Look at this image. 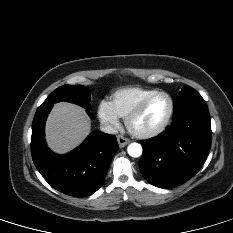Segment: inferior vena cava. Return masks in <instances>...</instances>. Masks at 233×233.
I'll use <instances>...</instances> for the list:
<instances>
[{"instance_id": "602c4592", "label": "inferior vena cava", "mask_w": 233, "mask_h": 233, "mask_svg": "<svg viewBox=\"0 0 233 233\" xmlns=\"http://www.w3.org/2000/svg\"><path fill=\"white\" fill-rule=\"evenodd\" d=\"M100 130L102 132L108 133V134H117L118 133V129L115 126H112L108 123H101L100 124Z\"/></svg>"}]
</instances>
